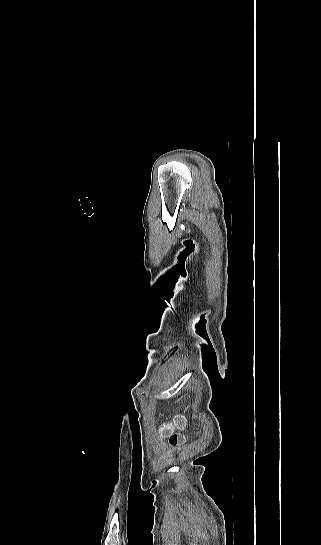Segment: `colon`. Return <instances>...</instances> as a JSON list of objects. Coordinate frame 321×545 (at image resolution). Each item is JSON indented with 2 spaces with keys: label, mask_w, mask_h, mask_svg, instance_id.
I'll list each match as a JSON object with an SVG mask.
<instances>
[{
  "label": "colon",
  "mask_w": 321,
  "mask_h": 545,
  "mask_svg": "<svg viewBox=\"0 0 321 545\" xmlns=\"http://www.w3.org/2000/svg\"><path fill=\"white\" fill-rule=\"evenodd\" d=\"M184 424V420L181 417H176L173 422L166 423L161 426L160 432L163 436L168 437L169 443L172 446H177L184 442L183 435L175 433L174 430L180 428Z\"/></svg>",
  "instance_id": "1"
}]
</instances>
